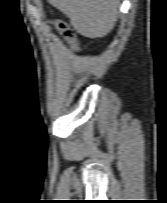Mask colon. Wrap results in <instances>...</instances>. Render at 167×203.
<instances>
[{
    "mask_svg": "<svg viewBox=\"0 0 167 203\" xmlns=\"http://www.w3.org/2000/svg\"><path fill=\"white\" fill-rule=\"evenodd\" d=\"M55 25L61 36L70 44L73 50L77 54H79L81 51L80 44L71 27L64 20L61 19L55 20Z\"/></svg>",
    "mask_w": 167,
    "mask_h": 203,
    "instance_id": "5ec220e1",
    "label": "colon"
}]
</instances>
